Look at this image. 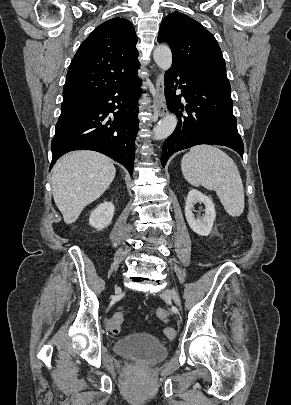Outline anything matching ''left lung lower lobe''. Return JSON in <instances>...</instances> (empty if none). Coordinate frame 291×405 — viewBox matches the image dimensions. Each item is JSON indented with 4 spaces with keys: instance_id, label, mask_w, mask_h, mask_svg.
I'll return each mask as SVG.
<instances>
[{
    "instance_id": "obj_1",
    "label": "left lung lower lobe",
    "mask_w": 291,
    "mask_h": 405,
    "mask_svg": "<svg viewBox=\"0 0 291 405\" xmlns=\"http://www.w3.org/2000/svg\"><path fill=\"white\" fill-rule=\"evenodd\" d=\"M164 82L167 106L177 114L178 124L163 144V167L175 152L200 144L228 146L243 158L244 146L232 112L233 101L227 77L172 66L166 72ZM177 85L183 93L175 96ZM181 96L187 102V113L178 110L184 109Z\"/></svg>"
}]
</instances>
